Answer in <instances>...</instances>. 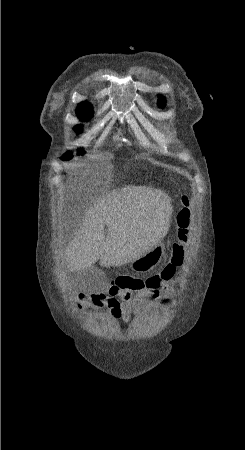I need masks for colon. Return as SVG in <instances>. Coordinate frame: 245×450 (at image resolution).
Wrapping results in <instances>:
<instances>
[{"label": "colon", "instance_id": "colon-1", "mask_svg": "<svg viewBox=\"0 0 245 450\" xmlns=\"http://www.w3.org/2000/svg\"><path fill=\"white\" fill-rule=\"evenodd\" d=\"M191 227L192 215L190 211V200L184 197L182 199V209L176 216L177 241L172 246L167 262L169 270H174L184 262L186 247L190 240ZM116 283L120 288L133 293L144 287L145 279L138 276H124L117 279Z\"/></svg>", "mask_w": 245, "mask_h": 450}]
</instances>
